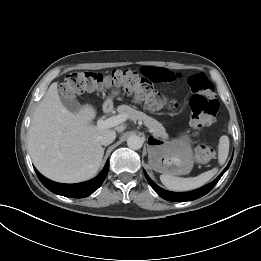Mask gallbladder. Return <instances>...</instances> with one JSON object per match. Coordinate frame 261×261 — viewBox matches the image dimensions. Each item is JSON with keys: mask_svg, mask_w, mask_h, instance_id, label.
<instances>
[{"mask_svg": "<svg viewBox=\"0 0 261 261\" xmlns=\"http://www.w3.org/2000/svg\"><path fill=\"white\" fill-rule=\"evenodd\" d=\"M62 104L71 112L76 113L81 109L79 102L73 95H63L61 97Z\"/></svg>", "mask_w": 261, "mask_h": 261, "instance_id": "1", "label": "gallbladder"}]
</instances>
